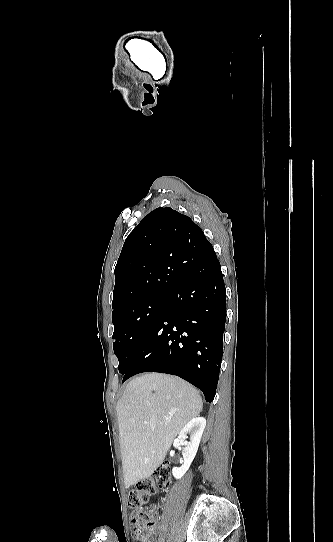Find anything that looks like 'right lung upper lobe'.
I'll use <instances>...</instances> for the list:
<instances>
[{
  "label": "right lung upper lobe",
  "instance_id": "cb5924a9",
  "mask_svg": "<svg viewBox=\"0 0 333 542\" xmlns=\"http://www.w3.org/2000/svg\"><path fill=\"white\" fill-rule=\"evenodd\" d=\"M210 242L188 216L159 207L128 235L115 267L113 316L123 308L168 293L184 279L178 266L166 259L171 251H193Z\"/></svg>",
  "mask_w": 333,
  "mask_h": 542
}]
</instances>
